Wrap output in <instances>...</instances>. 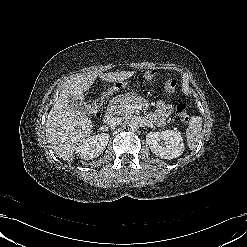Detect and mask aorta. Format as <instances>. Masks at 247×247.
I'll list each match as a JSON object with an SVG mask.
<instances>
[{
  "mask_svg": "<svg viewBox=\"0 0 247 247\" xmlns=\"http://www.w3.org/2000/svg\"><path fill=\"white\" fill-rule=\"evenodd\" d=\"M128 129L135 131L139 128V122L136 119H131L127 122Z\"/></svg>",
  "mask_w": 247,
  "mask_h": 247,
  "instance_id": "aorta-1",
  "label": "aorta"
}]
</instances>
